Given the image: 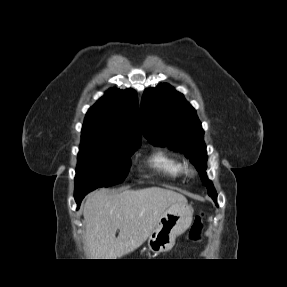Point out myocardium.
<instances>
[{
	"instance_id": "f54148a6",
	"label": "myocardium",
	"mask_w": 287,
	"mask_h": 287,
	"mask_svg": "<svg viewBox=\"0 0 287 287\" xmlns=\"http://www.w3.org/2000/svg\"><path fill=\"white\" fill-rule=\"evenodd\" d=\"M194 170L193 169H188V173L190 174V175H193L194 174Z\"/></svg>"
}]
</instances>
